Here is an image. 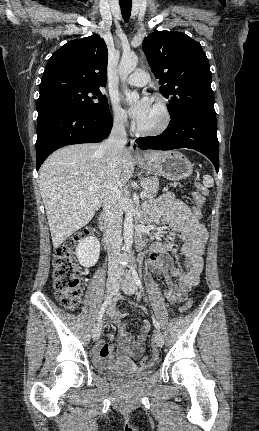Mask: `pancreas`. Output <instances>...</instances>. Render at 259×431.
<instances>
[{
  "label": "pancreas",
  "instance_id": "1",
  "mask_svg": "<svg viewBox=\"0 0 259 431\" xmlns=\"http://www.w3.org/2000/svg\"><path fill=\"white\" fill-rule=\"evenodd\" d=\"M140 184L146 192V198H153L156 196L159 190V180L157 177L143 178L141 179ZM171 185L176 186L177 183Z\"/></svg>",
  "mask_w": 259,
  "mask_h": 431
}]
</instances>
